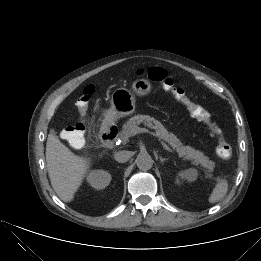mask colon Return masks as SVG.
Here are the masks:
<instances>
[{"mask_svg": "<svg viewBox=\"0 0 261 261\" xmlns=\"http://www.w3.org/2000/svg\"><path fill=\"white\" fill-rule=\"evenodd\" d=\"M140 75L146 76L153 82L158 83L166 92L170 93L177 101L187 107L191 115L204 123H206L213 136L217 138V155L223 160H229L233 157V149L224 138L221 128L212 121L207 111L200 105L192 102L187 96L183 88L175 85L172 78L165 69L161 67H152L139 71ZM95 88L87 85L82 90L78 101L77 108L80 113L84 114L88 108L89 102L94 94ZM62 135L64 139L73 147L81 148L85 144V125L83 123H75L63 129Z\"/></svg>", "mask_w": 261, "mask_h": 261, "instance_id": "obj_1", "label": "colon"}]
</instances>
